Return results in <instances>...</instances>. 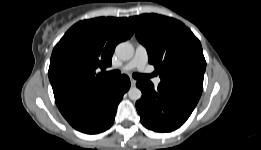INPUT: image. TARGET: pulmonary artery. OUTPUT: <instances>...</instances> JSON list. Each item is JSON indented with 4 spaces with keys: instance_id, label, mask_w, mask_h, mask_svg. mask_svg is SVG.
I'll use <instances>...</instances> for the list:
<instances>
[{
    "instance_id": "obj_1",
    "label": "pulmonary artery",
    "mask_w": 261,
    "mask_h": 150,
    "mask_svg": "<svg viewBox=\"0 0 261 150\" xmlns=\"http://www.w3.org/2000/svg\"><path fill=\"white\" fill-rule=\"evenodd\" d=\"M148 63V52L143 45H138L133 58L126 63L122 69L125 71L138 69L140 71H145ZM161 82L160 77H155L153 83L158 85Z\"/></svg>"
}]
</instances>
